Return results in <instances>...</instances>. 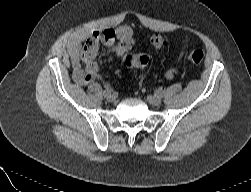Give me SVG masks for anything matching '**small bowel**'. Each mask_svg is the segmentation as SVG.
Wrapping results in <instances>:
<instances>
[{
	"label": "small bowel",
	"mask_w": 251,
	"mask_h": 192,
	"mask_svg": "<svg viewBox=\"0 0 251 192\" xmlns=\"http://www.w3.org/2000/svg\"><path fill=\"white\" fill-rule=\"evenodd\" d=\"M133 39L130 28L122 26L116 30L102 29L95 31L81 47L78 42L70 45V55L73 67V78L80 85H87L99 77L96 55L99 45L110 46L117 56H123L132 47ZM188 40H183V46ZM183 57V51L178 55L177 61ZM177 73L175 67H170L166 72L167 78H173Z\"/></svg>",
	"instance_id": "obj_1"
}]
</instances>
